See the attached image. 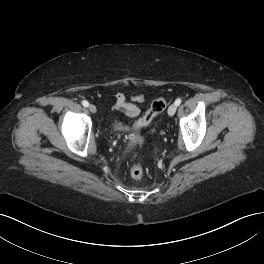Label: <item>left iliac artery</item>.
Listing matches in <instances>:
<instances>
[{"label":"left iliac artery","mask_w":264,"mask_h":264,"mask_svg":"<svg viewBox=\"0 0 264 264\" xmlns=\"http://www.w3.org/2000/svg\"><path fill=\"white\" fill-rule=\"evenodd\" d=\"M174 104L176 106H179L181 104V99L180 98L176 99Z\"/></svg>","instance_id":"1"}]
</instances>
